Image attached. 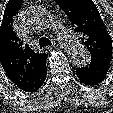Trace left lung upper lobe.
Segmentation results:
<instances>
[{
    "label": "left lung upper lobe",
    "mask_w": 113,
    "mask_h": 113,
    "mask_svg": "<svg viewBox=\"0 0 113 113\" xmlns=\"http://www.w3.org/2000/svg\"><path fill=\"white\" fill-rule=\"evenodd\" d=\"M67 14L75 31L83 34L91 59L109 65L112 40L92 0H55ZM83 42V40H82Z\"/></svg>",
    "instance_id": "obj_1"
}]
</instances>
